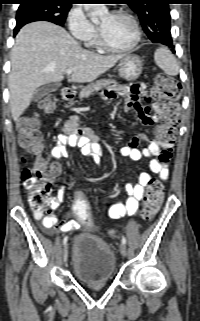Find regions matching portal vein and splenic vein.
I'll use <instances>...</instances> for the list:
<instances>
[{
  "label": "portal vein and splenic vein",
  "instance_id": "portal-vein-and-splenic-vein-1",
  "mask_svg": "<svg viewBox=\"0 0 200 321\" xmlns=\"http://www.w3.org/2000/svg\"><path fill=\"white\" fill-rule=\"evenodd\" d=\"M66 73H67L68 75L72 74V73H73V69H67V70H66Z\"/></svg>",
  "mask_w": 200,
  "mask_h": 321
}]
</instances>
